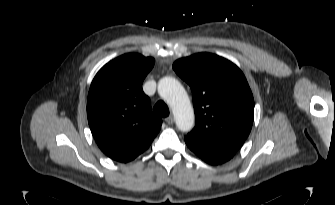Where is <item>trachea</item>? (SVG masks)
I'll use <instances>...</instances> for the list:
<instances>
[{
    "label": "trachea",
    "mask_w": 335,
    "mask_h": 205,
    "mask_svg": "<svg viewBox=\"0 0 335 205\" xmlns=\"http://www.w3.org/2000/svg\"><path fill=\"white\" fill-rule=\"evenodd\" d=\"M153 112L161 117H167L169 108L164 101H158L153 108Z\"/></svg>",
    "instance_id": "trachea-1"
}]
</instances>
